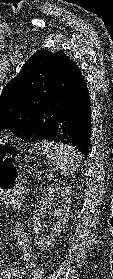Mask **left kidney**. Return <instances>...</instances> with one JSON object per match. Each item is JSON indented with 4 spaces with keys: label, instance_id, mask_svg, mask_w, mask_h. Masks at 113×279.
<instances>
[{
    "label": "left kidney",
    "instance_id": "1",
    "mask_svg": "<svg viewBox=\"0 0 113 279\" xmlns=\"http://www.w3.org/2000/svg\"><path fill=\"white\" fill-rule=\"evenodd\" d=\"M71 187L63 186H50L45 194L39 201L40 209L33 212V231L35 234L36 245L42 250L47 249L57 239L58 235L65 227L69 216V210L71 205ZM60 200V206L54 210V214L57 217L56 223L49 234H43L42 231V216L44 207L54 205V197Z\"/></svg>",
    "mask_w": 113,
    "mask_h": 279
}]
</instances>
